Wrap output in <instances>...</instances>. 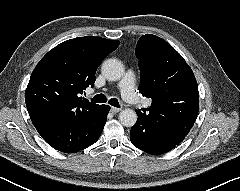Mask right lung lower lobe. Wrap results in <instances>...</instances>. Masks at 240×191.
<instances>
[{"instance_id":"1","label":"right lung lower lobe","mask_w":240,"mask_h":191,"mask_svg":"<svg viewBox=\"0 0 240 191\" xmlns=\"http://www.w3.org/2000/svg\"><path fill=\"white\" fill-rule=\"evenodd\" d=\"M109 110L108 105H98L81 115H54L34 126L54 149L74 153L98 140L107 121Z\"/></svg>"}]
</instances>
